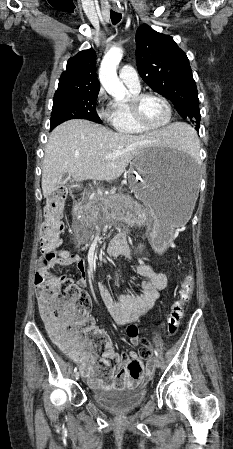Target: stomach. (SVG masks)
<instances>
[{
  "label": "stomach",
  "mask_w": 233,
  "mask_h": 449,
  "mask_svg": "<svg viewBox=\"0 0 233 449\" xmlns=\"http://www.w3.org/2000/svg\"><path fill=\"white\" fill-rule=\"evenodd\" d=\"M131 190L149 211L150 236L165 246L173 230L191 217L198 200V172L185 155L148 147L135 156L128 171Z\"/></svg>",
  "instance_id": "1"
}]
</instances>
